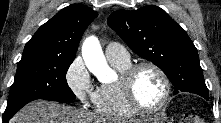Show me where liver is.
<instances>
[{"instance_id": "liver-1", "label": "liver", "mask_w": 221, "mask_h": 123, "mask_svg": "<svg viewBox=\"0 0 221 123\" xmlns=\"http://www.w3.org/2000/svg\"><path fill=\"white\" fill-rule=\"evenodd\" d=\"M120 121V120H110ZM104 120L84 111L49 101H34L24 106L10 123H103ZM139 123V121H134Z\"/></svg>"}]
</instances>
